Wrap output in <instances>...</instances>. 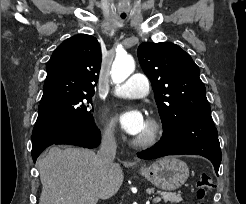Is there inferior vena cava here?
I'll list each match as a JSON object with an SVG mask.
<instances>
[{
	"label": "inferior vena cava",
	"instance_id": "obj_1",
	"mask_svg": "<svg viewBox=\"0 0 246 204\" xmlns=\"http://www.w3.org/2000/svg\"><path fill=\"white\" fill-rule=\"evenodd\" d=\"M116 141L112 129H108L104 132L100 150L98 151V158L102 166L106 171H109L114 166V159L116 156Z\"/></svg>",
	"mask_w": 246,
	"mask_h": 204
}]
</instances>
